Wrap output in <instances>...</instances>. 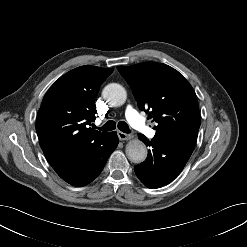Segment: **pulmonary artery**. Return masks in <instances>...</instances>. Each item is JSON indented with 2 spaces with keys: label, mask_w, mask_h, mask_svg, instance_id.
<instances>
[{
  "label": "pulmonary artery",
  "mask_w": 247,
  "mask_h": 247,
  "mask_svg": "<svg viewBox=\"0 0 247 247\" xmlns=\"http://www.w3.org/2000/svg\"><path fill=\"white\" fill-rule=\"evenodd\" d=\"M125 115L132 127L150 138L154 137L156 133L155 130L147 126L144 119L132 106H127Z\"/></svg>",
  "instance_id": "e3ab8cb5"
}]
</instances>
